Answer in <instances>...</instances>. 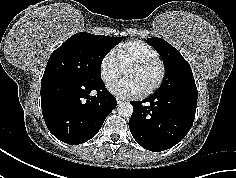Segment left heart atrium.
<instances>
[{"instance_id":"left-heart-atrium-1","label":"left heart atrium","mask_w":236,"mask_h":178,"mask_svg":"<svg viewBox=\"0 0 236 178\" xmlns=\"http://www.w3.org/2000/svg\"><path fill=\"white\" fill-rule=\"evenodd\" d=\"M110 91L120 97H132L141 93L136 84L128 78H123L109 87Z\"/></svg>"}]
</instances>
